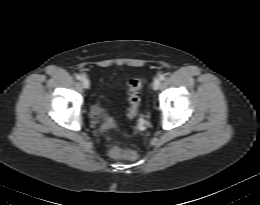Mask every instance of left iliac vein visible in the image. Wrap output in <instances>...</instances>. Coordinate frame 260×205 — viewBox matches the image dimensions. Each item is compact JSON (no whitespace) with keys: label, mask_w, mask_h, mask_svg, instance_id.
I'll list each match as a JSON object with an SVG mask.
<instances>
[{"label":"left iliac vein","mask_w":260,"mask_h":205,"mask_svg":"<svg viewBox=\"0 0 260 205\" xmlns=\"http://www.w3.org/2000/svg\"><path fill=\"white\" fill-rule=\"evenodd\" d=\"M160 85H161V81L160 79L157 78L153 81L152 88L154 90H158L160 88Z\"/></svg>","instance_id":"obj_1"}]
</instances>
